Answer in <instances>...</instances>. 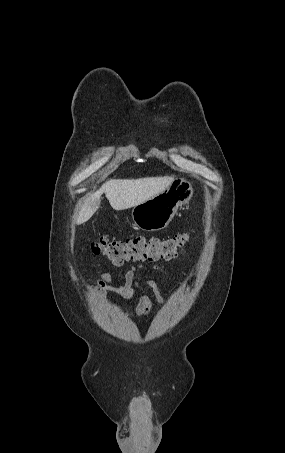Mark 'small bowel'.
Segmentation results:
<instances>
[{
	"label": "small bowel",
	"mask_w": 285,
	"mask_h": 453,
	"mask_svg": "<svg viewBox=\"0 0 285 453\" xmlns=\"http://www.w3.org/2000/svg\"><path fill=\"white\" fill-rule=\"evenodd\" d=\"M143 264H138L131 267L126 271L124 275V281L120 285H108L107 282L110 280V277L107 273H102L101 278L95 281L94 284L90 285L88 288L96 293H102L106 290L113 291L124 298H130L134 295L135 291L138 289H149L157 302L163 304L164 298L161 294L158 284L152 279H136L135 272L137 269L142 268ZM155 269H160L155 266ZM152 302L151 299L144 295L140 298L139 303L134 310V315L141 317L147 316L151 312Z\"/></svg>",
	"instance_id": "obj_1"
}]
</instances>
